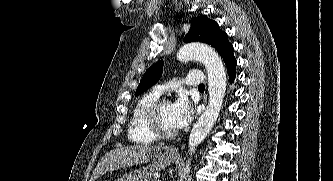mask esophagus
Instances as JSON below:
<instances>
[{
    "instance_id": "1",
    "label": "esophagus",
    "mask_w": 333,
    "mask_h": 181,
    "mask_svg": "<svg viewBox=\"0 0 333 181\" xmlns=\"http://www.w3.org/2000/svg\"><path fill=\"white\" fill-rule=\"evenodd\" d=\"M169 153L170 154H178V148L175 147V148L170 149Z\"/></svg>"
}]
</instances>
